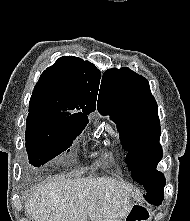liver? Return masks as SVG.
I'll list each match as a JSON object with an SVG mask.
<instances>
[{"label":"liver","instance_id":"liver-1","mask_svg":"<svg viewBox=\"0 0 190 221\" xmlns=\"http://www.w3.org/2000/svg\"><path fill=\"white\" fill-rule=\"evenodd\" d=\"M136 190L110 177L49 178L25 203L34 221L124 219Z\"/></svg>","mask_w":190,"mask_h":221}]
</instances>
